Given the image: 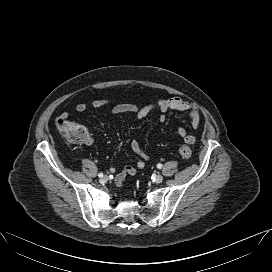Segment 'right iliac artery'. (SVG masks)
<instances>
[{"instance_id":"right-iliac-artery-1","label":"right iliac artery","mask_w":272,"mask_h":272,"mask_svg":"<svg viewBox=\"0 0 272 272\" xmlns=\"http://www.w3.org/2000/svg\"><path fill=\"white\" fill-rule=\"evenodd\" d=\"M98 176H99V177H103V173H99Z\"/></svg>"}]
</instances>
